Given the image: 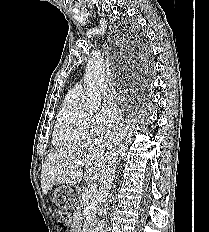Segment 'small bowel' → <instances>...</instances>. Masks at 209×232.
I'll return each instance as SVG.
<instances>
[{"mask_svg":"<svg viewBox=\"0 0 209 232\" xmlns=\"http://www.w3.org/2000/svg\"><path fill=\"white\" fill-rule=\"evenodd\" d=\"M81 227V219L79 216H76L71 222V228L73 231H79Z\"/></svg>","mask_w":209,"mask_h":232,"instance_id":"small-bowel-1","label":"small bowel"}]
</instances>
